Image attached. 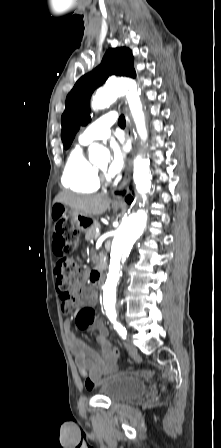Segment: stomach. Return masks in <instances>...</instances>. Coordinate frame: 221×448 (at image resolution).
<instances>
[{"instance_id": "0dacf381", "label": "stomach", "mask_w": 221, "mask_h": 448, "mask_svg": "<svg viewBox=\"0 0 221 448\" xmlns=\"http://www.w3.org/2000/svg\"><path fill=\"white\" fill-rule=\"evenodd\" d=\"M112 207L115 210H118L120 208L119 205H112ZM54 208H57L60 212H62L64 211L63 209L65 208V206L61 203H56L54 205ZM69 216L72 218V221L76 225V227L82 232H86L90 227L93 226L94 220L90 216L84 215L79 211L71 209L69 211Z\"/></svg>"}]
</instances>
